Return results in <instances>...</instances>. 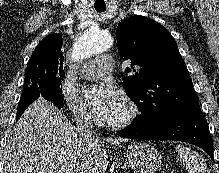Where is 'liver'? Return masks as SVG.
<instances>
[{
  "instance_id": "1",
  "label": "liver",
  "mask_w": 219,
  "mask_h": 173,
  "mask_svg": "<svg viewBox=\"0 0 219 173\" xmlns=\"http://www.w3.org/2000/svg\"><path fill=\"white\" fill-rule=\"evenodd\" d=\"M121 138L79 141L63 112L40 97L22 114L4 150L3 173H105L104 142Z\"/></svg>"
}]
</instances>
